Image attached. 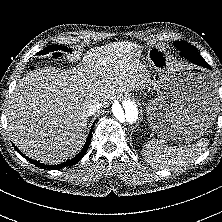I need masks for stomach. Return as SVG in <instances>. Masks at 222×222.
<instances>
[{"label": "stomach", "instance_id": "obj_1", "mask_svg": "<svg viewBox=\"0 0 222 222\" xmlns=\"http://www.w3.org/2000/svg\"><path fill=\"white\" fill-rule=\"evenodd\" d=\"M143 47L129 51L141 57ZM147 64L158 76L157 96L147 103L148 122L163 142L194 141L205 134L218 112L216 84L211 74L193 66H174L161 46L147 51Z\"/></svg>", "mask_w": 222, "mask_h": 222}]
</instances>
